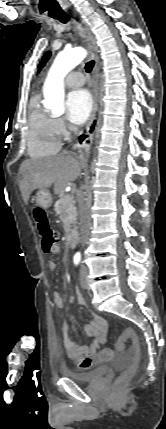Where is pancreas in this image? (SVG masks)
<instances>
[{
  "label": "pancreas",
  "instance_id": "obj_1",
  "mask_svg": "<svg viewBox=\"0 0 166 429\" xmlns=\"http://www.w3.org/2000/svg\"><path fill=\"white\" fill-rule=\"evenodd\" d=\"M67 196L68 195L63 196L56 201L54 210L61 217H66L72 226H75L77 222V211L75 202L72 200L71 197L70 200H67Z\"/></svg>",
  "mask_w": 166,
  "mask_h": 429
}]
</instances>
